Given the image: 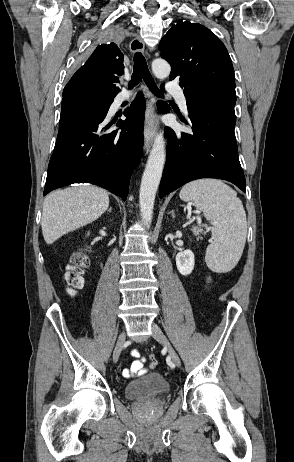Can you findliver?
<instances>
[{
    "label": "liver",
    "instance_id": "1",
    "mask_svg": "<svg viewBox=\"0 0 294 462\" xmlns=\"http://www.w3.org/2000/svg\"><path fill=\"white\" fill-rule=\"evenodd\" d=\"M109 207L107 191L78 186L49 194L43 203L41 227L44 240L53 244L61 236L97 220Z\"/></svg>",
    "mask_w": 294,
    "mask_h": 462
}]
</instances>
